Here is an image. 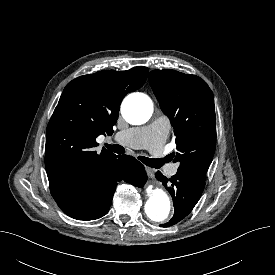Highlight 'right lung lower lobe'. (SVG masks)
<instances>
[{
    "instance_id": "1",
    "label": "right lung lower lobe",
    "mask_w": 275,
    "mask_h": 275,
    "mask_svg": "<svg viewBox=\"0 0 275 275\" xmlns=\"http://www.w3.org/2000/svg\"><path fill=\"white\" fill-rule=\"evenodd\" d=\"M121 180L143 187L147 180L144 166L132 156L118 155L100 172L86 178L77 187L73 198L59 207L77 220L98 219L109 211L117 182Z\"/></svg>"
}]
</instances>
